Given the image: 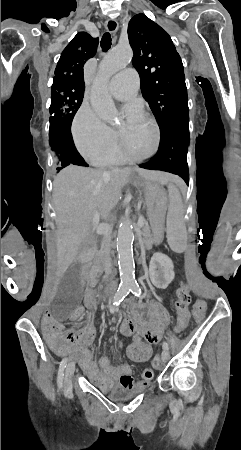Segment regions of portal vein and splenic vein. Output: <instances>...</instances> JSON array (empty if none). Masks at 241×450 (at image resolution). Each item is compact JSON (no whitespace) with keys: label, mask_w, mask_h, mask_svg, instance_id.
Segmentation results:
<instances>
[{"label":"portal vein and splenic vein","mask_w":241,"mask_h":450,"mask_svg":"<svg viewBox=\"0 0 241 450\" xmlns=\"http://www.w3.org/2000/svg\"><path fill=\"white\" fill-rule=\"evenodd\" d=\"M143 225H146V220L144 217L140 218V221H137V230L141 231ZM93 228L96 230L97 234H103L105 238H110V234H112V226L110 224H99V222H93Z\"/></svg>","instance_id":"18ae733b"}]
</instances>
